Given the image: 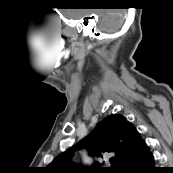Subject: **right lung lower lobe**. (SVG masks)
<instances>
[{
	"label": "right lung lower lobe",
	"instance_id": "right-lung-lower-lobe-1",
	"mask_svg": "<svg viewBox=\"0 0 173 173\" xmlns=\"http://www.w3.org/2000/svg\"><path fill=\"white\" fill-rule=\"evenodd\" d=\"M161 170L154 166V158L148 146H145L134 155L127 158L116 173H160Z\"/></svg>",
	"mask_w": 173,
	"mask_h": 173
}]
</instances>
